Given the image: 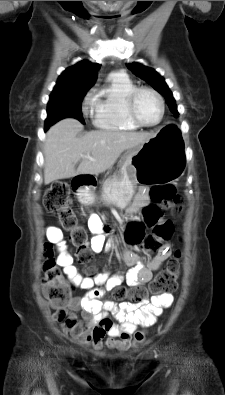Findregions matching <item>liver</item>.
Instances as JSON below:
<instances>
[{
    "instance_id": "obj_1",
    "label": "liver",
    "mask_w": 225,
    "mask_h": 395,
    "mask_svg": "<svg viewBox=\"0 0 225 395\" xmlns=\"http://www.w3.org/2000/svg\"><path fill=\"white\" fill-rule=\"evenodd\" d=\"M82 130L83 125L72 118L63 119L48 130L44 144L45 184L76 175L105 172L125 150L136 148L156 136L149 132L92 131L77 138ZM87 155L93 160L84 157Z\"/></svg>"
}]
</instances>
